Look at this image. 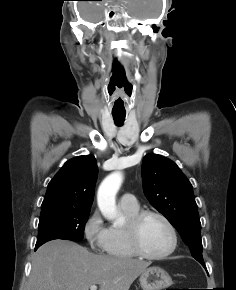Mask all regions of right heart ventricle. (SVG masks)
<instances>
[{"label":"right heart ventricle","mask_w":236,"mask_h":290,"mask_svg":"<svg viewBox=\"0 0 236 290\" xmlns=\"http://www.w3.org/2000/svg\"><path fill=\"white\" fill-rule=\"evenodd\" d=\"M120 208L128 219L139 211L138 206L131 208L120 205ZM104 250L106 251L107 255L116 258L128 259L136 256L129 244L126 234V226H111L108 228V239Z\"/></svg>","instance_id":"e07e8e85"}]
</instances>
